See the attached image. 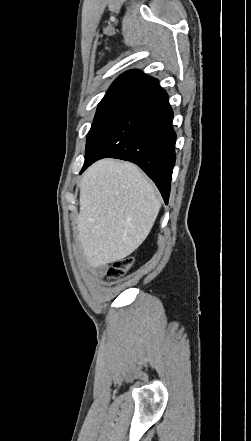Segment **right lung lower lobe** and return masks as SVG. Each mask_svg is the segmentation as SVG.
<instances>
[{"instance_id":"obj_1","label":"right lung lower lobe","mask_w":251,"mask_h":441,"mask_svg":"<svg viewBox=\"0 0 251 441\" xmlns=\"http://www.w3.org/2000/svg\"><path fill=\"white\" fill-rule=\"evenodd\" d=\"M172 120L168 95L158 85L133 102L104 132L80 173L106 157L133 162L155 182L167 204L176 159Z\"/></svg>"}]
</instances>
